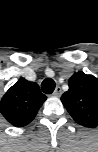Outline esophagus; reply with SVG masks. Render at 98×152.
Here are the masks:
<instances>
[{
    "mask_svg": "<svg viewBox=\"0 0 98 152\" xmlns=\"http://www.w3.org/2000/svg\"><path fill=\"white\" fill-rule=\"evenodd\" d=\"M62 94V90H61V87L60 86H57L53 92V96L55 97H60Z\"/></svg>",
    "mask_w": 98,
    "mask_h": 152,
    "instance_id": "34e87169",
    "label": "esophagus"
}]
</instances>
